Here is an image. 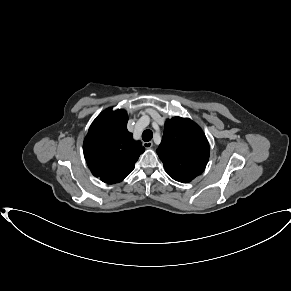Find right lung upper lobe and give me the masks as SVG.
<instances>
[{
    "label": "right lung upper lobe",
    "instance_id": "1",
    "mask_svg": "<svg viewBox=\"0 0 291 291\" xmlns=\"http://www.w3.org/2000/svg\"><path fill=\"white\" fill-rule=\"evenodd\" d=\"M124 110L103 111L91 124L83 143L87 165L105 183L121 182L135 167L145 148L127 130Z\"/></svg>",
    "mask_w": 291,
    "mask_h": 291
}]
</instances>
